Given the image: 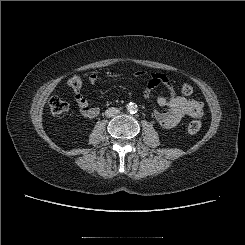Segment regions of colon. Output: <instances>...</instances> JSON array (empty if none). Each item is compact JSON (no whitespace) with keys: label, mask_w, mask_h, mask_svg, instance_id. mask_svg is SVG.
Returning a JSON list of instances; mask_svg holds the SVG:
<instances>
[{"label":"colon","mask_w":245,"mask_h":245,"mask_svg":"<svg viewBox=\"0 0 245 245\" xmlns=\"http://www.w3.org/2000/svg\"><path fill=\"white\" fill-rule=\"evenodd\" d=\"M67 84H68L70 89H72L74 91H79L82 88L83 81H82V78L80 76L74 75L71 78H69ZM181 92L185 96H190L193 94L194 89L190 84L184 83L181 86ZM49 108H50V111L52 114L60 115V114H63V113L68 111L69 104L63 98H60L58 96H53L49 100ZM201 127H202L201 121L200 120H194V121L190 122V124L188 125L187 132L191 135H194L200 131Z\"/></svg>","instance_id":"colon-1"}]
</instances>
